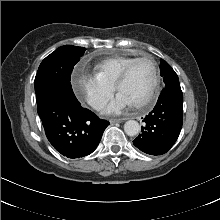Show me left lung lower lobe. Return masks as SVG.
<instances>
[{"mask_svg":"<svg viewBox=\"0 0 220 220\" xmlns=\"http://www.w3.org/2000/svg\"><path fill=\"white\" fill-rule=\"evenodd\" d=\"M145 125L133 144L150 155L165 154L176 142L183 123V95L180 84L166 86L144 118Z\"/></svg>","mask_w":220,"mask_h":220,"instance_id":"obj_1","label":"left lung lower lobe"}]
</instances>
